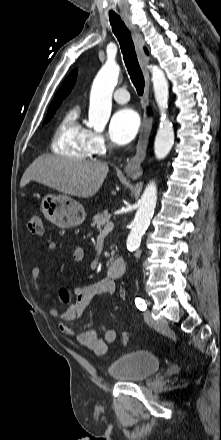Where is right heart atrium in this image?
Segmentation results:
<instances>
[{
  "label": "right heart atrium",
  "instance_id": "obj_1",
  "mask_svg": "<svg viewBox=\"0 0 221 440\" xmlns=\"http://www.w3.org/2000/svg\"><path fill=\"white\" fill-rule=\"evenodd\" d=\"M89 143L92 153L96 155L104 154L110 147L107 138L102 133L91 130L89 134Z\"/></svg>",
  "mask_w": 221,
  "mask_h": 440
}]
</instances>
